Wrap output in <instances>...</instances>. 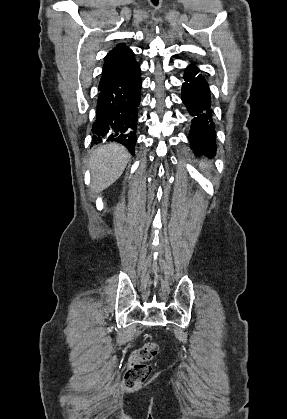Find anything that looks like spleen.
Segmentation results:
<instances>
[{
	"label": "spleen",
	"instance_id": "spleen-1",
	"mask_svg": "<svg viewBox=\"0 0 287 419\" xmlns=\"http://www.w3.org/2000/svg\"><path fill=\"white\" fill-rule=\"evenodd\" d=\"M200 166H201L202 168H208V164H205V163L200 164Z\"/></svg>",
	"mask_w": 287,
	"mask_h": 419
}]
</instances>
